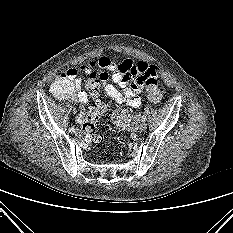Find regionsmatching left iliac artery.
I'll return each instance as SVG.
<instances>
[{"instance_id": "obj_1", "label": "left iliac artery", "mask_w": 233, "mask_h": 233, "mask_svg": "<svg viewBox=\"0 0 233 233\" xmlns=\"http://www.w3.org/2000/svg\"><path fill=\"white\" fill-rule=\"evenodd\" d=\"M141 121H142V122H145V121H146V116L143 115V116L141 117Z\"/></svg>"}]
</instances>
